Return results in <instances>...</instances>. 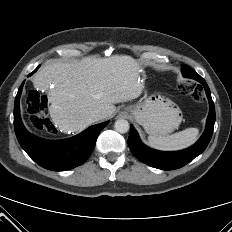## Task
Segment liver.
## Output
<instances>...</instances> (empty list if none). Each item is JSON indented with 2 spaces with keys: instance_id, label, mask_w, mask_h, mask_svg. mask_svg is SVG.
<instances>
[{
  "instance_id": "6515ba94",
  "label": "liver",
  "mask_w": 232,
  "mask_h": 232,
  "mask_svg": "<svg viewBox=\"0 0 232 232\" xmlns=\"http://www.w3.org/2000/svg\"><path fill=\"white\" fill-rule=\"evenodd\" d=\"M139 69L131 56H89L76 62L44 65L32 82L39 90L51 87L49 111L53 123L64 133H77L93 123V113L109 118L116 111L114 104L141 95L144 84Z\"/></svg>"
}]
</instances>
